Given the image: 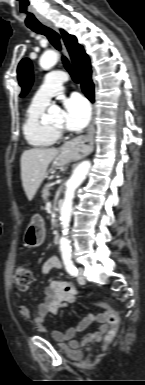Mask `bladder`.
<instances>
[{
    "instance_id": "bladder-1",
    "label": "bladder",
    "mask_w": 145,
    "mask_h": 385,
    "mask_svg": "<svg viewBox=\"0 0 145 385\" xmlns=\"http://www.w3.org/2000/svg\"><path fill=\"white\" fill-rule=\"evenodd\" d=\"M62 348L65 349V346H63L62 344H59ZM71 355H73L74 357H77V358H80L82 356V353L81 352H73V353H70Z\"/></svg>"
}]
</instances>
